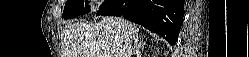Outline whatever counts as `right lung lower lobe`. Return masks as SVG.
Masks as SVG:
<instances>
[{"instance_id": "obj_1", "label": "right lung lower lobe", "mask_w": 249, "mask_h": 57, "mask_svg": "<svg viewBox=\"0 0 249 57\" xmlns=\"http://www.w3.org/2000/svg\"><path fill=\"white\" fill-rule=\"evenodd\" d=\"M96 15L123 16L175 45L184 17V0H110Z\"/></svg>"}]
</instances>
